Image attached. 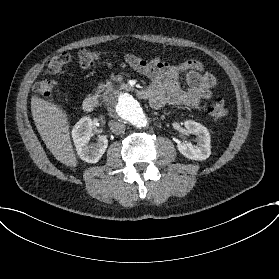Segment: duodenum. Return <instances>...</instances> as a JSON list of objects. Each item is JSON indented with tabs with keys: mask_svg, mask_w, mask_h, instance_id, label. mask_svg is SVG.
<instances>
[{
	"mask_svg": "<svg viewBox=\"0 0 279 279\" xmlns=\"http://www.w3.org/2000/svg\"><path fill=\"white\" fill-rule=\"evenodd\" d=\"M112 92H125L129 91V87L125 84H119L111 88ZM137 96L139 98H147L148 93L146 90L137 91ZM97 106V98L94 95H88L83 101V110L87 113L92 112Z\"/></svg>",
	"mask_w": 279,
	"mask_h": 279,
	"instance_id": "duodenum-1",
	"label": "duodenum"
}]
</instances>
